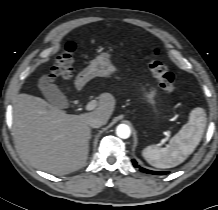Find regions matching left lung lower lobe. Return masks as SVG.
Returning a JSON list of instances; mask_svg holds the SVG:
<instances>
[{
	"instance_id": "left-lung-lower-lobe-1",
	"label": "left lung lower lobe",
	"mask_w": 218,
	"mask_h": 210,
	"mask_svg": "<svg viewBox=\"0 0 218 210\" xmlns=\"http://www.w3.org/2000/svg\"><path fill=\"white\" fill-rule=\"evenodd\" d=\"M132 162H133V165L135 167H139L140 171L148 173V174L163 175V174H167L168 173V172H162V171L155 172V171L147 170V169H144V168L140 167L135 160H132Z\"/></svg>"
}]
</instances>
